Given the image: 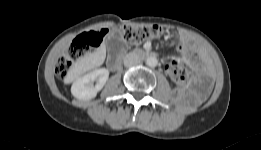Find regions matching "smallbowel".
<instances>
[{
	"instance_id": "1",
	"label": "small bowel",
	"mask_w": 261,
	"mask_h": 150,
	"mask_svg": "<svg viewBox=\"0 0 261 150\" xmlns=\"http://www.w3.org/2000/svg\"><path fill=\"white\" fill-rule=\"evenodd\" d=\"M178 38L181 42V46L178 49V54L184 61L193 66L196 59V49L193 39L185 33H179ZM147 46H149V44H147ZM167 64L168 63L165 64V71L168 73Z\"/></svg>"
}]
</instances>
